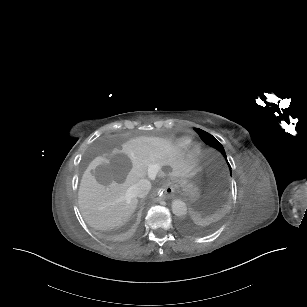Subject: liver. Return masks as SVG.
<instances>
[{"label":"liver","mask_w":307,"mask_h":307,"mask_svg":"<svg viewBox=\"0 0 307 307\" xmlns=\"http://www.w3.org/2000/svg\"><path fill=\"white\" fill-rule=\"evenodd\" d=\"M164 166L172 168L171 177L195 174L194 162L167 138L140 136L103 151L80 182L78 203L85 222L101 230L122 225L137 207L133 186L149 172L165 176Z\"/></svg>","instance_id":"liver-1"}]
</instances>
